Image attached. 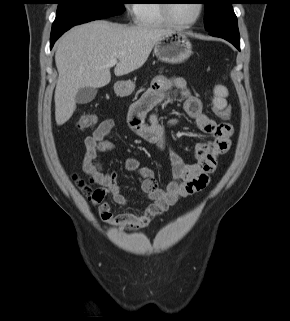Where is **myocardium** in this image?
<instances>
[{"instance_id":"myocardium-1","label":"myocardium","mask_w":290,"mask_h":321,"mask_svg":"<svg viewBox=\"0 0 290 321\" xmlns=\"http://www.w3.org/2000/svg\"><path fill=\"white\" fill-rule=\"evenodd\" d=\"M161 10L162 13L164 15V17L166 18V20L168 21V23L174 27L177 28H189L193 25H195L199 19L201 18L202 14H203V10H204V5L201 1H197V14L194 17V19H192L191 21L188 22H179L177 20H175L171 14V7H172V0H161Z\"/></svg>"}]
</instances>
